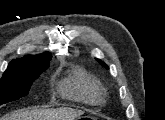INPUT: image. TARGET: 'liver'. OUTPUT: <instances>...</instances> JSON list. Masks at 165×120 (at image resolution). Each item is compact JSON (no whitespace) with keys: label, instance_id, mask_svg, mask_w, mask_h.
Instances as JSON below:
<instances>
[{"label":"liver","instance_id":"liver-1","mask_svg":"<svg viewBox=\"0 0 165 120\" xmlns=\"http://www.w3.org/2000/svg\"><path fill=\"white\" fill-rule=\"evenodd\" d=\"M83 112L70 108L55 110H21L10 116L3 117V120H73Z\"/></svg>","mask_w":165,"mask_h":120}]
</instances>
